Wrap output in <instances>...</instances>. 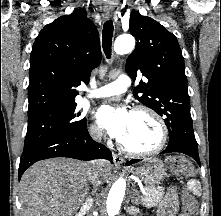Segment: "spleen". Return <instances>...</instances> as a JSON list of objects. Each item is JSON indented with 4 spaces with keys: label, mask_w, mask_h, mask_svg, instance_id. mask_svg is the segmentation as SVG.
I'll list each match as a JSON object with an SVG mask.
<instances>
[{
    "label": "spleen",
    "mask_w": 221,
    "mask_h": 216,
    "mask_svg": "<svg viewBox=\"0 0 221 216\" xmlns=\"http://www.w3.org/2000/svg\"><path fill=\"white\" fill-rule=\"evenodd\" d=\"M189 185H190V188H191V190L193 191V193L195 195H200V192H199V182L198 181L191 180Z\"/></svg>",
    "instance_id": "obj_1"
}]
</instances>
